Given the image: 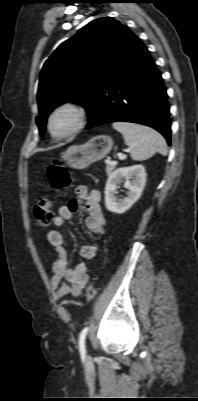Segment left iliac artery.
Segmentation results:
<instances>
[{"mask_svg": "<svg viewBox=\"0 0 198 401\" xmlns=\"http://www.w3.org/2000/svg\"><path fill=\"white\" fill-rule=\"evenodd\" d=\"M89 330V327L86 326L80 333L79 335V350L82 354H85L86 349H85V337L87 335V332Z\"/></svg>", "mask_w": 198, "mask_h": 401, "instance_id": "44dca946", "label": "left iliac artery"}]
</instances>
